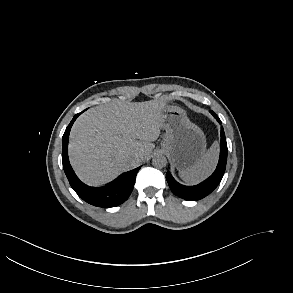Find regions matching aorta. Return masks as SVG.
<instances>
[{
  "label": "aorta",
  "instance_id": "1",
  "mask_svg": "<svg viewBox=\"0 0 293 293\" xmlns=\"http://www.w3.org/2000/svg\"><path fill=\"white\" fill-rule=\"evenodd\" d=\"M167 164L166 157L163 155H156L152 159V165L156 168H163Z\"/></svg>",
  "mask_w": 293,
  "mask_h": 293
}]
</instances>
